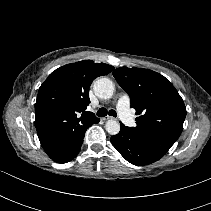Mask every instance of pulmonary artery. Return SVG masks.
Here are the masks:
<instances>
[{"label":"pulmonary artery","instance_id":"pulmonary-artery-1","mask_svg":"<svg viewBox=\"0 0 211 211\" xmlns=\"http://www.w3.org/2000/svg\"><path fill=\"white\" fill-rule=\"evenodd\" d=\"M116 108L119 114V117L127 126H134L135 119L130 110V98L127 94H123L119 97Z\"/></svg>","mask_w":211,"mask_h":211}]
</instances>
